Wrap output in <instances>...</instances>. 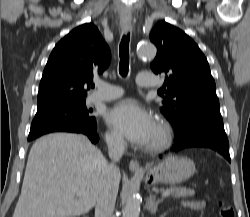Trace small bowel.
I'll return each mask as SVG.
<instances>
[{
    "label": "small bowel",
    "instance_id": "1",
    "mask_svg": "<svg viewBox=\"0 0 250 217\" xmlns=\"http://www.w3.org/2000/svg\"><path fill=\"white\" fill-rule=\"evenodd\" d=\"M183 206L192 211H200L205 207V202L203 200L185 201Z\"/></svg>",
    "mask_w": 250,
    "mask_h": 217
}]
</instances>
